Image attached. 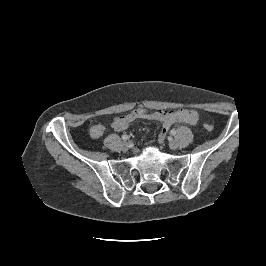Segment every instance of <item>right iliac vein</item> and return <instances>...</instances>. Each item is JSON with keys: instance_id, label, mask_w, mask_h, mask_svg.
I'll return each mask as SVG.
<instances>
[{"instance_id": "obj_1", "label": "right iliac vein", "mask_w": 266, "mask_h": 266, "mask_svg": "<svg viewBox=\"0 0 266 266\" xmlns=\"http://www.w3.org/2000/svg\"><path fill=\"white\" fill-rule=\"evenodd\" d=\"M121 148L123 151H127L129 149V142L127 141H124L122 144H121Z\"/></svg>"}]
</instances>
